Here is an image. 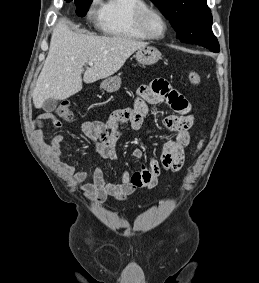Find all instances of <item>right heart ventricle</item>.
Segmentation results:
<instances>
[{"instance_id":"1","label":"right heart ventricle","mask_w":259,"mask_h":283,"mask_svg":"<svg viewBox=\"0 0 259 283\" xmlns=\"http://www.w3.org/2000/svg\"><path fill=\"white\" fill-rule=\"evenodd\" d=\"M146 7V0H106L100 10L99 27L116 38L148 39L138 24V15Z\"/></svg>"}]
</instances>
